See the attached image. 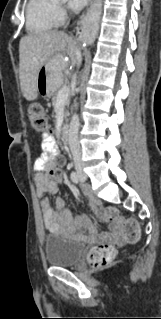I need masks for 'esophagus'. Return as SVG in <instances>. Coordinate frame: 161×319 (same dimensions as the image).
<instances>
[{
  "label": "esophagus",
  "instance_id": "esophagus-1",
  "mask_svg": "<svg viewBox=\"0 0 161 319\" xmlns=\"http://www.w3.org/2000/svg\"><path fill=\"white\" fill-rule=\"evenodd\" d=\"M82 32H83L82 27H81V26L77 27V30H76V38H77L78 40H81V41H83L84 43H86V40H83V38H82Z\"/></svg>",
  "mask_w": 161,
  "mask_h": 319
}]
</instances>
